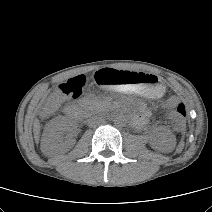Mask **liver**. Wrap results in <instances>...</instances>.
<instances>
[{
    "label": "liver",
    "mask_w": 212,
    "mask_h": 212,
    "mask_svg": "<svg viewBox=\"0 0 212 212\" xmlns=\"http://www.w3.org/2000/svg\"><path fill=\"white\" fill-rule=\"evenodd\" d=\"M40 130H41L40 122L38 119H35L33 123V132H34V138L36 142L39 141Z\"/></svg>",
    "instance_id": "liver-1"
}]
</instances>
